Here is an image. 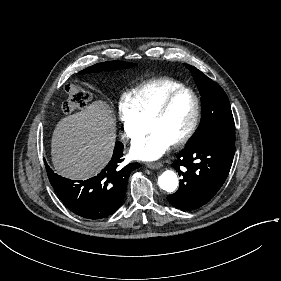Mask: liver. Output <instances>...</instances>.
I'll return each mask as SVG.
<instances>
[{
	"label": "liver",
	"mask_w": 281,
	"mask_h": 281,
	"mask_svg": "<svg viewBox=\"0 0 281 281\" xmlns=\"http://www.w3.org/2000/svg\"><path fill=\"white\" fill-rule=\"evenodd\" d=\"M115 139L116 119L109 105L94 101L56 125L51 141L53 165L67 178L94 176L110 161Z\"/></svg>",
	"instance_id": "6515ba94"
}]
</instances>
